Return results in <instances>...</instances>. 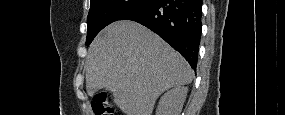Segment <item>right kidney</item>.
Masks as SVG:
<instances>
[{
  "label": "right kidney",
  "instance_id": "right-kidney-1",
  "mask_svg": "<svg viewBox=\"0 0 285 115\" xmlns=\"http://www.w3.org/2000/svg\"><path fill=\"white\" fill-rule=\"evenodd\" d=\"M188 88L178 86L167 91L161 98L156 115H179L187 96Z\"/></svg>",
  "mask_w": 285,
  "mask_h": 115
}]
</instances>
